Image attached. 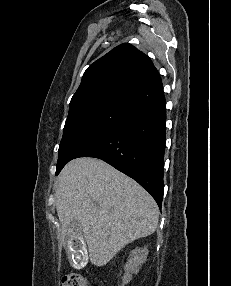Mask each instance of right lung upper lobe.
<instances>
[{"label": "right lung upper lobe", "instance_id": "cb5924a9", "mask_svg": "<svg viewBox=\"0 0 231 286\" xmlns=\"http://www.w3.org/2000/svg\"><path fill=\"white\" fill-rule=\"evenodd\" d=\"M160 83L161 78L151 60L132 45L121 44L84 72L71 99L69 114L104 101L130 107L143 100Z\"/></svg>", "mask_w": 231, "mask_h": 286}]
</instances>
